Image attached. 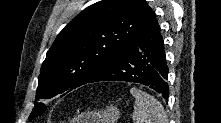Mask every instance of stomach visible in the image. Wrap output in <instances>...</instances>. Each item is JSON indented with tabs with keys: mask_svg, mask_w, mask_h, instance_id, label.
<instances>
[{
	"mask_svg": "<svg viewBox=\"0 0 221 123\" xmlns=\"http://www.w3.org/2000/svg\"><path fill=\"white\" fill-rule=\"evenodd\" d=\"M120 115V110L116 106H109L98 112L82 113L73 123H116Z\"/></svg>",
	"mask_w": 221,
	"mask_h": 123,
	"instance_id": "0dacf381",
	"label": "stomach"
}]
</instances>
